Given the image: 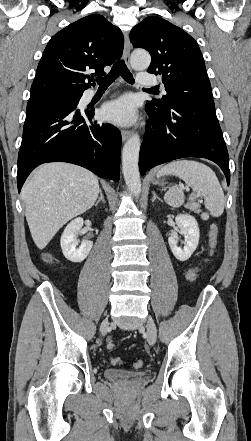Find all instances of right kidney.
Masks as SVG:
<instances>
[{"instance_id":"1","label":"right kidney","mask_w":251,"mask_h":441,"mask_svg":"<svg viewBox=\"0 0 251 441\" xmlns=\"http://www.w3.org/2000/svg\"><path fill=\"white\" fill-rule=\"evenodd\" d=\"M82 226L83 218H75L66 226L60 240L63 255L66 259L74 263L85 260L93 246L92 241L83 240L79 248H77L79 241L76 235Z\"/></svg>"}]
</instances>
